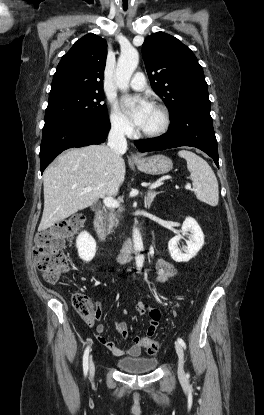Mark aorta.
<instances>
[{"mask_svg": "<svg viewBox=\"0 0 264 415\" xmlns=\"http://www.w3.org/2000/svg\"><path fill=\"white\" fill-rule=\"evenodd\" d=\"M138 63L139 54L135 48L131 47L121 52L115 70V81L120 90L127 91L130 78L137 68ZM133 248L136 266L141 268L144 264V255L141 254L144 246L140 231L137 227L133 228Z\"/></svg>", "mask_w": 264, "mask_h": 415, "instance_id": "1", "label": "aorta"}]
</instances>
